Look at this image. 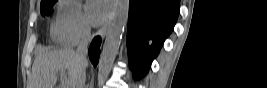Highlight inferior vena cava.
I'll list each match as a JSON object with an SVG mask.
<instances>
[{"instance_id":"inferior-vena-cava-1","label":"inferior vena cava","mask_w":267,"mask_h":88,"mask_svg":"<svg viewBox=\"0 0 267 88\" xmlns=\"http://www.w3.org/2000/svg\"><path fill=\"white\" fill-rule=\"evenodd\" d=\"M91 37V29L89 25H86L83 30V34L78 43L76 49V57L81 63V68L78 75V81L76 88H84L85 87V79H86V64H87V47Z\"/></svg>"}]
</instances>
